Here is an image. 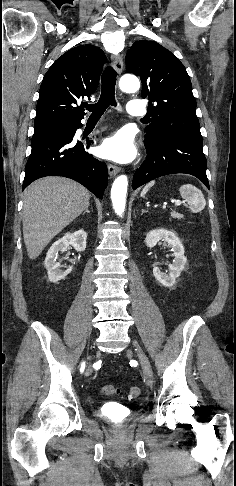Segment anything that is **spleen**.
<instances>
[{"label":"spleen","mask_w":236,"mask_h":486,"mask_svg":"<svg viewBox=\"0 0 236 486\" xmlns=\"http://www.w3.org/2000/svg\"><path fill=\"white\" fill-rule=\"evenodd\" d=\"M154 184L155 181L147 183L141 192V196H144ZM179 191L181 196L188 201L189 208L193 213L200 212L205 208L204 195L197 187L192 184H185L180 187Z\"/></svg>","instance_id":"1"}]
</instances>
